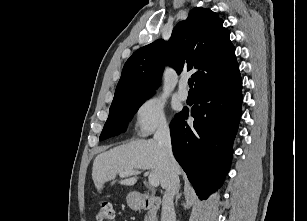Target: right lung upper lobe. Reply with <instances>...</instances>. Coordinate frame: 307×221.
<instances>
[{
	"label": "right lung upper lobe",
	"mask_w": 307,
	"mask_h": 221,
	"mask_svg": "<svg viewBox=\"0 0 307 221\" xmlns=\"http://www.w3.org/2000/svg\"><path fill=\"white\" fill-rule=\"evenodd\" d=\"M223 22L217 13L196 7L174 27L168 42L159 39L136 50L123 67L112 103L157 89L166 60L178 74L195 71V94L240 79L235 48Z\"/></svg>",
	"instance_id": "1"
}]
</instances>
